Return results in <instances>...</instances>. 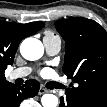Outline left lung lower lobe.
Segmentation results:
<instances>
[{
	"mask_svg": "<svg viewBox=\"0 0 107 107\" xmlns=\"http://www.w3.org/2000/svg\"><path fill=\"white\" fill-rule=\"evenodd\" d=\"M65 97L60 98L59 107H107V91L97 90L91 95H81L74 88L65 90Z\"/></svg>",
	"mask_w": 107,
	"mask_h": 107,
	"instance_id": "left-lung-lower-lobe-1",
	"label": "left lung lower lobe"
}]
</instances>
